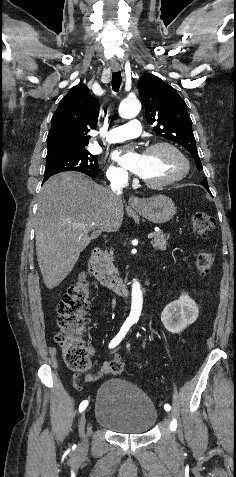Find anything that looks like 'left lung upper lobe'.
Segmentation results:
<instances>
[{
	"mask_svg": "<svg viewBox=\"0 0 236 477\" xmlns=\"http://www.w3.org/2000/svg\"><path fill=\"white\" fill-rule=\"evenodd\" d=\"M138 91L144 101L147 122L156 124L154 131L186 148L198 170H202L185 101L169 84L149 73L138 81ZM201 184L209 191L206 178Z\"/></svg>",
	"mask_w": 236,
	"mask_h": 477,
	"instance_id": "left-lung-upper-lobe-1",
	"label": "left lung upper lobe"
}]
</instances>
